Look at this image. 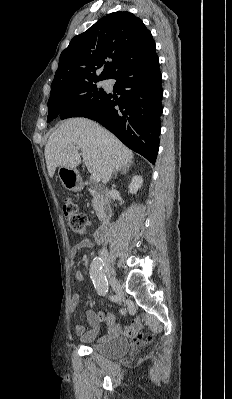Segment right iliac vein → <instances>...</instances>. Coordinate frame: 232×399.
<instances>
[{
	"mask_svg": "<svg viewBox=\"0 0 232 399\" xmlns=\"http://www.w3.org/2000/svg\"><path fill=\"white\" fill-rule=\"evenodd\" d=\"M104 265H105L104 266L105 272L108 273L111 285H114V288L117 289L116 294L119 296V301L123 302L124 299H125V293L122 290V287H120V283L118 282L116 277L113 275L112 266H111L112 262L111 261H105Z\"/></svg>",
	"mask_w": 232,
	"mask_h": 399,
	"instance_id": "1",
	"label": "right iliac vein"
}]
</instances>
